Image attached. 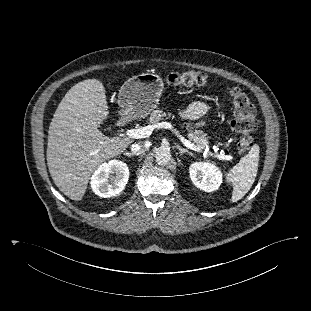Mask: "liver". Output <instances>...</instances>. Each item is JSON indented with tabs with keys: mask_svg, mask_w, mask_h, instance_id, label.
<instances>
[{
	"mask_svg": "<svg viewBox=\"0 0 311 311\" xmlns=\"http://www.w3.org/2000/svg\"><path fill=\"white\" fill-rule=\"evenodd\" d=\"M108 115L106 90L97 79L75 84L53 115L47 164L55 185L72 200L83 198L92 173L102 162L118 156L133 142L99 131Z\"/></svg>",
	"mask_w": 311,
	"mask_h": 311,
	"instance_id": "liver-1",
	"label": "liver"
}]
</instances>
